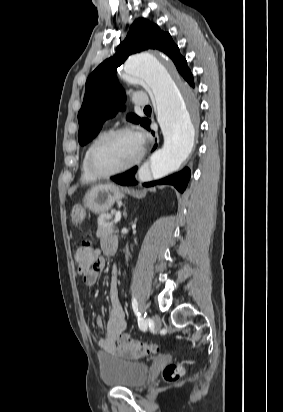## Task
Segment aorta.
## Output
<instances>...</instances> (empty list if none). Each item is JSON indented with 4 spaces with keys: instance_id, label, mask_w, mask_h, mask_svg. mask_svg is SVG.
Segmentation results:
<instances>
[{
    "instance_id": "aorta-1",
    "label": "aorta",
    "mask_w": 283,
    "mask_h": 412,
    "mask_svg": "<svg viewBox=\"0 0 283 412\" xmlns=\"http://www.w3.org/2000/svg\"><path fill=\"white\" fill-rule=\"evenodd\" d=\"M124 78L139 82L154 96L157 119L164 135L163 147L150 158L154 179L176 171L191 153L195 140V123L189 112L192 97L186 85L175 82L168 60L152 53L130 57L124 66Z\"/></svg>"
}]
</instances>
